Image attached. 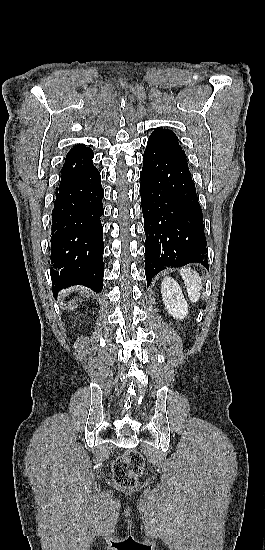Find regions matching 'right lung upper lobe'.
Here are the masks:
<instances>
[{
	"instance_id": "right-lung-upper-lobe-1",
	"label": "right lung upper lobe",
	"mask_w": 265,
	"mask_h": 550,
	"mask_svg": "<svg viewBox=\"0 0 265 550\" xmlns=\"http://www.w3.org/2000/svg\"><path fill=\"white\" fill-rule=\"evenodd\" d=\"M86 148H88V147H86L85 145H76L68 153L75 152V151H78V150H83V149H86Z\"/></svg>"
}]
</instances>
